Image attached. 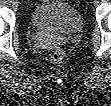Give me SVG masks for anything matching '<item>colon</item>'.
I'll return each instance as SVG.
<instances>
[{"label": "colon", "mask_w": 111, "mask_h": 106, "mask_svg": "<svg viewBox=\"0 0 111 106\" xmlns=\"http://www.w3.org/2000/svg\"><path fill=\"white\" fill-rule=\"evenodd\" d=\"M51 58L54 62H61L64 58V52L62 50H56Z\"/></svg>", "instance_id": "1"}]
</instances>
